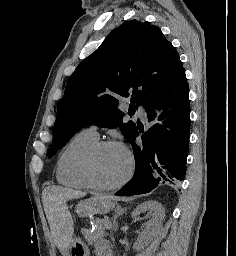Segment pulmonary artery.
<instances>
[{
	"label": "pulmonary artery",
	"instance_id": "1",
	"mask_svg": "<svg viewBox=\"0 0 236 256\" xmlns=\"http://www.w3.org/2000/svg\"><path fill=\"white\" fill-rule=\"evenodd\" d=\"M138 113L142 119H145L147 117V111L143 106H139ZM85 131L88 132L92 136H95L97 138L99 137L97 128L95 126H90Z\"/></svg>",
	"mask_w": 236,
	"mask_h": 256
}]
</instances>
